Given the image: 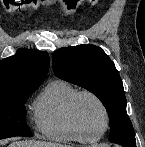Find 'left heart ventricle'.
Returning <instances> with one entry per match:
<instances>
[{
  "mask_svg": "<svg viewBox=\"0 0 145 147\" xmlns=\"http://www.w3.org/2000/svg\"><path fill=\"white\" fill-rule=\"evenodd\" d=\"M77 115L82 128L95 135L104 128V114L100 106L90 97L83 96L77 102Z\"/></svg>",
  "mask_w": 145,
  "mask_h": 147,
  "instance_id": "b2bd125f",
  "label": "left heart ventricle"
}]
</instances>
